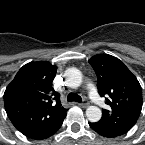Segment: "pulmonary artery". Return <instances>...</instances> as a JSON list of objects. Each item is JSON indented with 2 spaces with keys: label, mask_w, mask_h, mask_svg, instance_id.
<instances>
[{
  "label": "pulmonary artery",
  "mask_w": 145,
  "mask_h": 145,
  "mask_svg": "<svg viewBox=\"0 0 145 145\" xmlns=\"http://www.w3.org/2000/svg\"><path fill=\"white\" fill-rule=\"evenodd\" d=\"M88 92H89V96L90 98L92 99V101L98 105V106H101L104 102L103 100L100 98V96L98 95L97 93V90L95 88L94 85L90 84L88 86Z\"/></svg>",
  "instance_id": "obj_1"
}]
</instances>
